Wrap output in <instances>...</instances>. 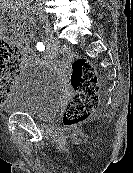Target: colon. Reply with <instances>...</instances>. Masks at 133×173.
Here are the masks:
<instances>
[{"mask_svg": "<svg viewBox=\"0 0 133 173\" xmlns=\"http://www.w3.org/2000/svg\"><path fill=\"white\" fill-rule=\"evenodd\" d=\"M28 31V23L17 21L10 14L0 20V101L6 98L22 60V54L14 42ZM69 80L74 93L62 117L66 127L75 126L94 114L100 89L93 64L82 57L73 60Z\"/></svg>", "mask_w": 133, "mask_h": 173, "instance_id": "obj_1", "label": "colon"}]
</instances>
